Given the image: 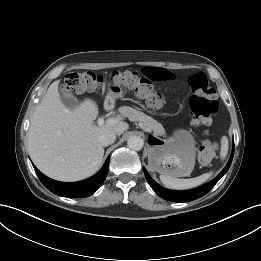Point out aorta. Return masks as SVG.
Here are the masks:
<instances>
[{
    "instance_id": "762f6f07",
    "label": "aorta",
    "mask_w": 261,
    "mask_h": 261,
    "mask_svg": "<svg viewBox=\"0 0 261 261\" xmlns=\"http://www.w3.org/2000/svg\"><path fill=\"white\" fill-rule=\"evenodd\" d=\"M144 141L138 136H132L127 141V146L133 151H140L143 148Z\"/></svg>"
}]
</instances>
